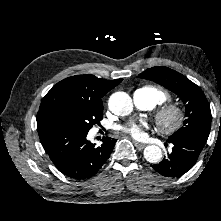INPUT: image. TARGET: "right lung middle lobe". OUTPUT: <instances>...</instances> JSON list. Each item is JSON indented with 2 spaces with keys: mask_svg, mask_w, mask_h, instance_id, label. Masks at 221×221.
I'll list each match as a JSON object with an SVG mask.
<instances>
[{
  "mask_svg": "<svg viewBox=\"0 0 221 221\" xmlns=\"http://www.w3.org/2000/svg\"><path fill=\"white\" fill-rule=\"evenodd\" d=\"M102 118L103 109L76 107L57 112L53 115L51 121L67 125L80 132L88 133L94 124H100Z\"/></svg>",
  "mask_w": 221,
  "mask_h": 221,
  "instance_id": "dd1d6c3e",
  "label": "right lung middle lobe"
}]
</instances>
